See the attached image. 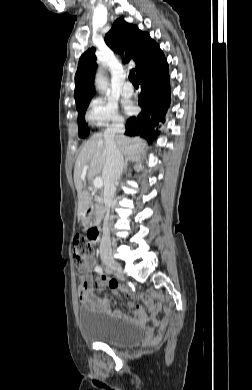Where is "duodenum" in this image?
Instances as JSON below:
<instances>
[{"mask_svg": "<svg viewBox=\"0 0 252 390\" xmlns=\"http://www.w3.org/2000/svg\"><path fill=\"white\" fill-rule=\"evenodd\" d=\"M92 214H93V206H90V207L85 209L84 214H83V220L85 223L88 222V220L91 218ZM100 223H101L100 221H96L94 223L93 229L95 230V240L100 239V227H101Z\"/></svg>", "mask_w": 252, "mask_h": 390, "instance_id": "1", "label": "duodenum"}]
</instances>
